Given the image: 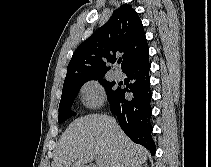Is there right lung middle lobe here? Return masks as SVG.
Wrapping results in <instances>:
<instances>
[{
  "label": "right lung middle lobe",
  "mask_w": 211,
  "mask_h": 167,
  "mask_svg": "<svg viewBox=\"0 0 211 167\" xmlns=\"http://www.w3.org/2000/svg\"><path fill=\"white\" fill-rule=\"evenodd\" d=\"M103 77L104 76L88 77V78L80 79L78 81L63 85L62 97H61L60 105H59V117H58L59 123L66 121L68 118H70L73 115L71 111V106L73 104V101L75 97L77 96L81 86L88 80H99V82L104 86L106 90L108 100L110 101L113 98V96L119 90V87L115 88L114 87L115 82H108L107 80L103 79Z\"/></svg>",
  "instance_id": "dd1d6c3e"
}]
</instances>
